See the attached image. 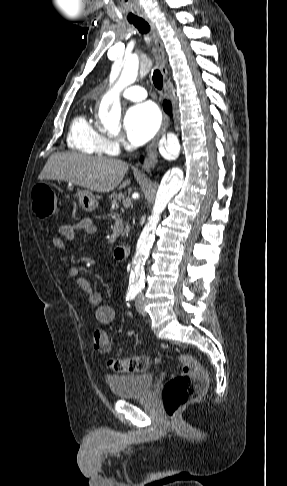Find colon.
<instances>
[{"instance_id": "colon-1", "label": "colon", "mask_w": 287, "mask_h": 486, "mask_svg": "<svg viewBox=\"0 0 287 486\" xmlns=\"http://www.w3.org/2000/svg\"><path fill=\"white\" fill-rule=\"evenodd\" d=\"M32 199L33 211L39 218L45 219L54 214L57 199L49 184L37 183L32 190ZM93 346L100 352L109 350V339L104 331L96 330L93 333ZM177 360L182 365L181 373L168 379L162 388L164 409L170 418H175L182 407L197 399L208 384L207 373L196 358L189 354H179ZM159 361V358L137 355L128 358H111L107 365L118 373H132L146 371Z\"/></svg>"}]
</instances>
